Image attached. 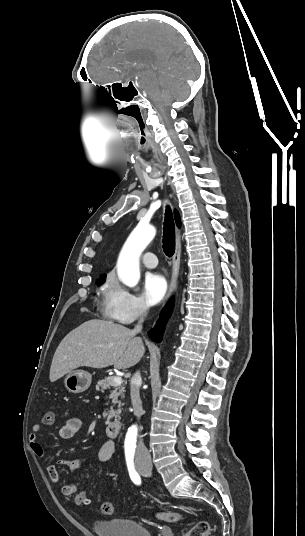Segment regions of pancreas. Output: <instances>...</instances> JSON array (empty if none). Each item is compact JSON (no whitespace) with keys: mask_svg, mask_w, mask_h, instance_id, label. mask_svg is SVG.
Masks as SVG:
<instances>
[{"mask_svg":"<svg viewBox=\"0 0 305 536\" xmlns=\"http://www.w3.org/2000/svg\"><path fill=\"white\" fill-rule=\"evenodd\" d=\"M112 378L114 376H110V378H105V380H99L96 384V390H101V392H104V390H107V388H110L112 386L113 390H111L109 394L110 400H112L110 406L109 412H104L103 416H108V418H115L116 422H119L121 420V402L124 400V392L125 388L123 386H117V384H114L112 382ZM113 406H117L118 410H113Z\"/></svg>","mask_w":305,"mask_h":536,"instance_id":"pancreas-1","label":"pancreas"}]
</instances>
